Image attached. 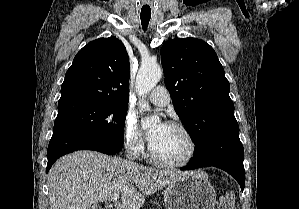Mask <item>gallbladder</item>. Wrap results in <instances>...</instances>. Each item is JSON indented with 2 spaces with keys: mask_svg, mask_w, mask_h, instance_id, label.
I'll return each instance as SVG.
<instances>
[{
  "mask_svg": "<svg viewBox=\"0 0 299 209\" xmlns=\"http://www.w3.org/2000/svg\"><path fill=\"white\" fill-rule=\"evenodd\" d=\"M93 209H101V208H98V207H94Z\"/></svg>",
  "mask_w": 299,
  "mask_h": 209,
  "instance_id": "gallbladder-1",
  "label": "gallbladder"
}]
</instances>
